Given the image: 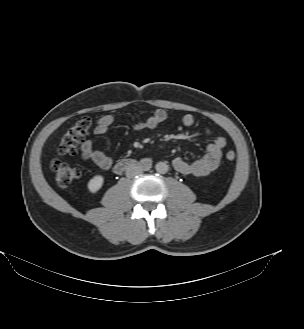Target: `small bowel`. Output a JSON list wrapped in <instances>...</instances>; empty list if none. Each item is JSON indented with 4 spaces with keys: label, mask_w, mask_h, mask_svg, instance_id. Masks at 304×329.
<instances>
[{
    "label": "small bowel",
    "mask_w": 304,
    "mask_h": 329,
    "mask_svg": "<svg viewBox=\"0 0 304 329\" xmlns=\"http://www.w3.org/2000/svg\"><path fill=\"white\" fill-rule=\"evenodd\" d=\"M168 115L164 109L155 110L146 120L137 122L133 125L135 131L155 130L163 124ZM117 121V117L112 114L101 116L95 127L94 133L98 136H105L109 132V128ZM185 127L192 128L196 123L193 114H186L182 118ZM208 134V130L204 131ZM226 139L222 136H216L206 146L205 154L197 159L186 161L181 158L173 160L174 169L183 174L193 177H202L216 170L220 164L222 151L226 146ZM81 156L85 160H89L101 169H109L112 166V158L101 150L95 148L92 140H85L81 145Z\"/></svg>",
    "instance_id": "c3829d8e"
}]
</instances>
